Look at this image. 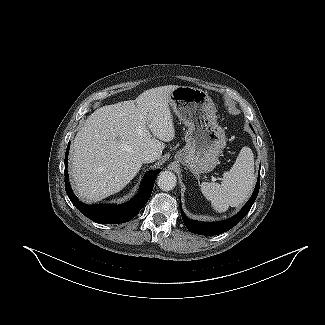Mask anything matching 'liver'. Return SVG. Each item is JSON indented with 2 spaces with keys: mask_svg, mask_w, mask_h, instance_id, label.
Listing matches in <instances>:
<instances>
[{
  "mask_svg": "<svg viewBox=\"0 0 325 325\" xmlns=\"http://www.w3.org/2000/svg\"><path fill=\"white\" fill-rule=\"evenodd\" d=\"M177 87L151 88L136 100L100 107L88 117L70 155V175L82 200L97 202L122 190L141 169L145 150L161 157L163 142L175 137L169 100Z\"/></svg>",
  "mask_w": 325,
  "mask_h": 325,
  "instance_id": "6515ba94",
  "label": "liver"
}]
</instances>
